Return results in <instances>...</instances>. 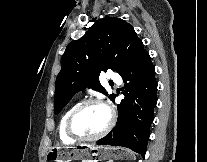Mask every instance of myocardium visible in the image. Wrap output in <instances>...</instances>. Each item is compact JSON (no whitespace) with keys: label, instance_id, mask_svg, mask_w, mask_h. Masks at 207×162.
Instances as JSON below:
<instances>
[{"label":"myocardium","instance_id":"f54148a6","mask_svg":"<svg viewBox=\"0 0 207 162\" xmlns=\"http://www.w3.org/2000/svg\"><path fill=\"white\" fill-rule=\"evenodd\" d=\"M92 104H99L104 106L107 111H108V122L105 126V128L98 134L96 135H91V136H85L78 134L74 128H73V123L76 117L88 106ZM115 120V110L112 108V106L106 102L104 99L95 97V98H90L87 99L81 103H79L69 114L66 123H65V132L68 137L72 139H77V140H97L102 137H104L108 132L112 129L113 124Z\"/></svg>","mask_w":207,"mask_h":162}]
</instances>
